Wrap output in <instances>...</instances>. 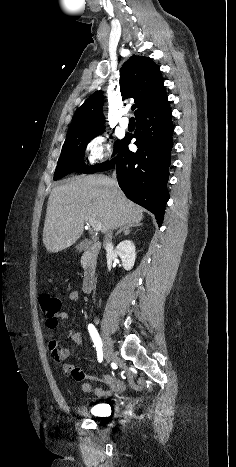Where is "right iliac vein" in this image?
<instances>
[{"mask_svg": "<svg viewBox=\"0 0 236 467\" xmlns=\"http://www.w3.org/2000/svg\"><path fill=\"white\" fill-rule=\"evenodd\" d=\"M102 337H103V343H104V347H103L104 358H105L106 363H109L113 358L112 341L109 335L105 331L102 332Z\"/></svg>", "mask_w": 236, "mask_h": 467, "instance_id": "right-iliac-vein-1", "label": "right iliac vein"}]
</instances>
